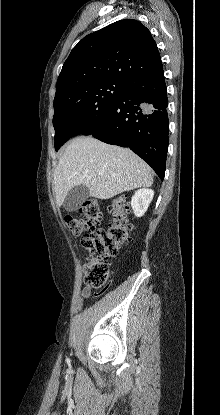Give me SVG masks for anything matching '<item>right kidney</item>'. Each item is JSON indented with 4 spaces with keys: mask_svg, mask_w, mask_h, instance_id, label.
Here are the masks:
<instances>
[{
    "mask_svg": "<svg viewBox=\"0 0 220 415\" xmlns=\"http://www.w3.org/2000/svg\"><path fill=\"white\" fill-rule=\"evenodd\" d=\"M154 196V191L151 189H139L135 192L131 200V207L137 217H141L147 211L149 204Z\"/></svg>",
    "mask_w": 220,
    "mask_h": 415,
    "instance_id": "obj_1",
    "label": "right kidney"
}]
</instances>
